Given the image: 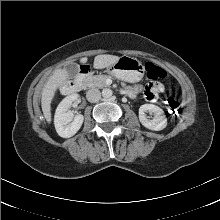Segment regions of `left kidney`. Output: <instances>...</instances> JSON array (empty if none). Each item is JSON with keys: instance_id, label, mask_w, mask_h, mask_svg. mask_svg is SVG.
<instances>
[{"instance_id": "1", "label": "left kidney", "mask_w": 220, "mask_h": 220, "mask_svg": "<svg viewBox=\"0 0 220 220\" xmlns=\"http://www.w3.org/2000/svg\"><path fill=\"white\" fill-rule=\"evenodd\" d=\"M146 112L152 113L153 117L151 119L147 117ZM139 120L144 127L154 131L163 130L167 126V119L164 115V111L153 104H144L140 106Z\"/></svg>"}]
</instances>
